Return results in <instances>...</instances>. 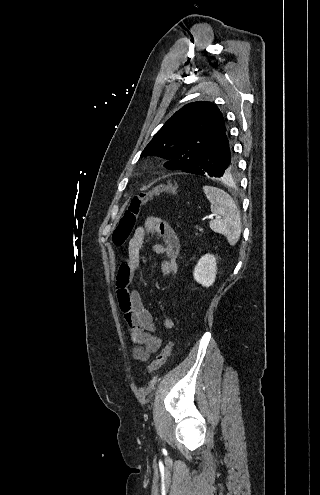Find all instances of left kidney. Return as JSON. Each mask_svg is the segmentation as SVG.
Masks as SVG:
<instances>
[{
	"label": "left kidney",
	"instance_id": "5707ae66",
	"mask_svg": "<svg viewBox=\"0 0 320 495\" xmlns=\"http://www.w3.org/2000/svg\"><path fill=\"white\" fill-rule=\"evenodd\" d=\"M217 262L212 254H206L200 258L193 271L194 280L202 286H211L216 278Z\"/></svg>",
	"mask_w": 320,
	"mask_h": 495
}]
</instances>
